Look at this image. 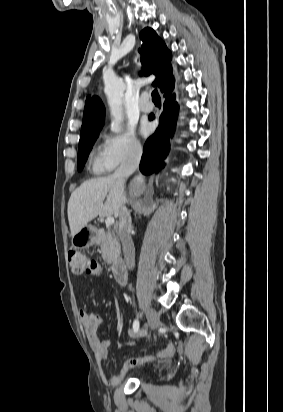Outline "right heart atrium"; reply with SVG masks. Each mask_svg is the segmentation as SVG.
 <instances>
[{"label": "right heart atrium", "mask_w": 283, "mask_h": 412, "mask_svg": "<svg viewBox=\"0 0 283 412\" xmlns=\"http://www.w3.org/2000/svg\"><path fill=\"white\" fill-rule=\"evenodd\" d=\"M142 153V145L130 131L107 134L100 152L101 162L106 170L137 159Z\"/></svg>", "instance_id": "d8ad5b80"}]
</instances>
